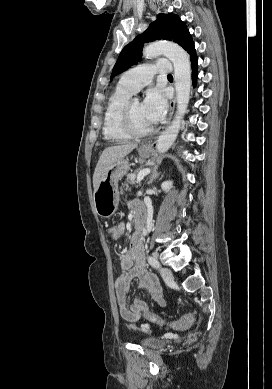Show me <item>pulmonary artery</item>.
<instances>
[{
    "label": "pulmonary artery",
    "instance_id": "1",
    "mask_svg": "<svg viewBox=\"0 0 272 389\" xmlns=\"http://www.w3.org/2000/svg\"><path fill=\"white\" fill-rule=\"evenodd\" d=\"M171 71V62L168 59H162L155 63L141 64L129 70L121 77L119 83L136 93L150 83L156 73L169 74Z\"/></svg>",
    "mask_w": 272,
    "mask_h": 389
}]
</instances>
